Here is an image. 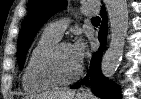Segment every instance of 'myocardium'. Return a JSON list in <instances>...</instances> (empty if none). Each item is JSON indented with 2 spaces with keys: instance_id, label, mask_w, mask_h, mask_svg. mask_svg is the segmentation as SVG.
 Wrapping results in <instances>:
<instances>
[{
  "instance_id": "1",
  "label": "myocardium",
  "mask_w": 141,
  "mask_h": 99,
  "mask_svg": "<svg viewBox=\"0 0 141 99\" xmlns=\"http://www.w3.org/2000/svg\"><path fill=\"white\" fill-rule=\"evenodd\" d=\"M66 45L69 44L67 42L57 41L42 53L36 65V74L40 80L54 86H64L73 83L80 78L83 72L82 65L79 66V69L74 75L67 78L60 77L54 70L53 60L55 55Z\"/></svg>"
}]
</instances>
